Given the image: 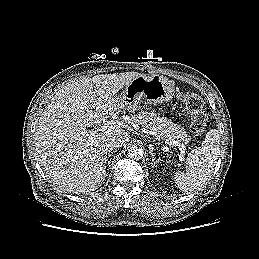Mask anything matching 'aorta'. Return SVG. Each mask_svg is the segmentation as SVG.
Here are the masks:
<instances>
[{
  "label": "aorta",
  "mask_w": 259,
  "mask_h": 259,
  "mask_svg": "<svg viewBox=\"0 0 259 259\" xmlns=\"http://www.w3.org/2000/svg\"><path fill=\"white\" fill-rule=\"evenodd\" d=\"M128 156L133 160H140L143 157V150L140 147L132 146L128 150Z\"/></svg>",
  "instance_id": "obj_1"
}]
</instances>
